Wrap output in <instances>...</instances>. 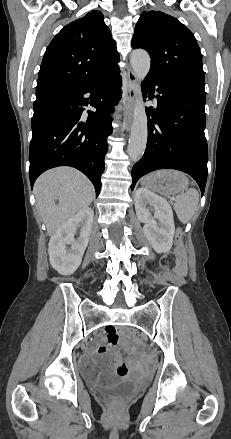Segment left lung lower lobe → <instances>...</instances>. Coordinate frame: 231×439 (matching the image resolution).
<instances>
[{
	"instance_id": "obj_1",
	"label": "left lung lower lobe",
	"mask_w": 231,
	"mask_h": 439,
	"mask_svg": "<svg viewBox=\"0 0 231 439\" xmlns=\"http://www.w3.org/2000/svg\"><path fill=\"white\" fill-rule=\"evenodd\" d=\"M156 85L157 108H146L152 117H148V141L143 157L133 166L131 189L145 174L168 168L193 177L203 195L208 171L204 85L147 77L145 94L153 93Z\"/></svg>"
}]
</instances>
